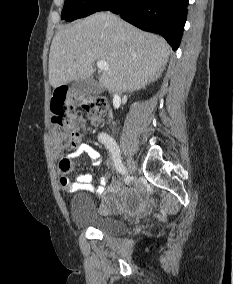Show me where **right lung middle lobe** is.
I'll return each instance as SVG.
<instances>
[{"label":"right lung middle lobe","instance_id":"right-lung-middle-lobe-1","mask_svg":"<svg viewBox=\"0 0 233 284\" xmlns=\"http://www.w3.org/2000/svg\"><path fill=\"white\" fill-rule=\"evenodd\" d=\"M106 0H65L61 18L66 21H73L78 18L86 17L94 12Z\"/></svg>","mask_w":233,"mask_h":284}]
</instances>
